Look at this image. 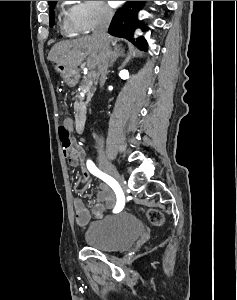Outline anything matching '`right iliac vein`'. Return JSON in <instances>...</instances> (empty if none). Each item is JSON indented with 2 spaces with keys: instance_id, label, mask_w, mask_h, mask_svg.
Returning <instances> with one entry per match:
<instances>
[{
  "instance_id": "right-iliac-vein-1",
  "label": "right iliac vein",
  "mask_w": 237,
  "mask_h": 300,
  "mask_svg": "<svg viewBox=\"0 0 237 300\" xmlns=\"http://www.w3.org/2000/svg\"><path fill=\"white\" fill-rule=\"evenodd\" d=\"M99 165L100 167L110 174L116 182L119 184V186L124 187L123 179L121 178L120 174L116 170V168L113 166V164L109 161L108 157L104 154L102 150L99 151L98 155Z\"/></svg>"
}]
</instances>
